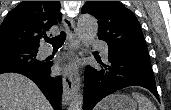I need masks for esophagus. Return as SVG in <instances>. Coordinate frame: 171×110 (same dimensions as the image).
Masks as SVG:
<instances>
[{
  "mask_svg": "<svg viewBox=\"0 0 171 110\" xmlns=\"http://www.w3.org/2000/svg\"><path fill=\"white\" fill-rule=\"evenodd\" d=\"M63 23L67 32V39L69 47L77 52L78 45V33L76 30L75 22L72 18L67 16L63 17ZM63 104H68L73 98L74 94L77 91L78 83H77V74L75 72H64L63 79Z\"/></svg>",
  "mask_w": 171,
  "mask_h": 110,
  "instance_id": "34e87169",
  "label": "esophagus"
}]
</instances>
